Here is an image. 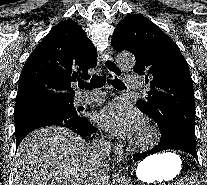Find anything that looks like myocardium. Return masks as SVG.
<instances>
[{
	"mask_svg": "<svg viewBox=\"0 0 207 185\" xmlns=\"http://www.w3.org/2000/svg\"><path fill=\"white\" fill-rule=\"evenodd\" d=\"M143 128H144V131L146 132V134L149 136V138H156V137L160 136L159 128L153 124L145 123ZM129 145L135 151H139L143 147V143L139 142L135 138H133L129 141Z\"/></svg>",
	"mask_w": 207,
	"mask_h": 185,
	"instance_id": "f54148a6",
	"label": "myocardium"
}]
</instances>
